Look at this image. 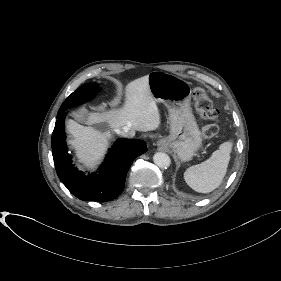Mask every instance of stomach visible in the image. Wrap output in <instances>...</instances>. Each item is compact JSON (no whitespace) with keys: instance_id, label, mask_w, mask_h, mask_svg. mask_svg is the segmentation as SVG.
I'll use <instances>...</instances> for the list:
<instances>
[{"instance_id":"0dacf381","label":"stomach","mask_w":281,"mask_h":281,"mask_svg":"<svg viewBox=\"0 0 281 281\" xmlns=\"http://www.w3.org/2000/svg\"><path fill=\"white\" fill-rule=\"evenodd\" d=\"M148 82L155 102L163 103L169 112L170 134L159 144L171 149L180 160H190L201 146L202 138L190 107L188 83L163 71L151 72Z\"/></svg>"}]
</instances>
